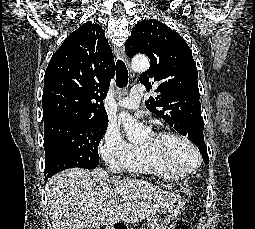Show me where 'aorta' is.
Segmentation results:
<instances>
[{"instance_id": "1", "label": "aorta", "mask_w": 255, "mask_h": 229, "mask_svg": "<svg viewBox=\"0 0 255 229\" xmlns=\"http://www.w3.org/2000/svg\"><path fill=\"white\" fill-rule=\"evenodd\" d=\"M149 66V60L145 56H136L131 61V68L136 72H144L148 70ZM118 119L123 125L130 142H138L142 139L143 127L129 113L121 112Z\"/></svg>"}]
</instances>
